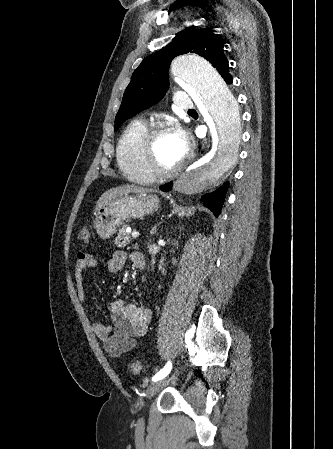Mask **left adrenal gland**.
Returning <instances> with one entry per match:
<instances>
[{
    "mask_svg": "<svg viewBox=\"0 0 333 449\" xmlns=\"http://www.w3.org/2000/svg\"><path fill=\"white\" fill-rule=\"evenodd\" d=\"M152 231H153V234L156 233V231H157V230H156V227H154V228L152 229Z\"/></svg>",
    "mask_w": 333,
    "mask_h": 449,
    "instance_id": "left-adrenal-gland-1",
    "label": "left adrenal gland"
}]
</instances>
